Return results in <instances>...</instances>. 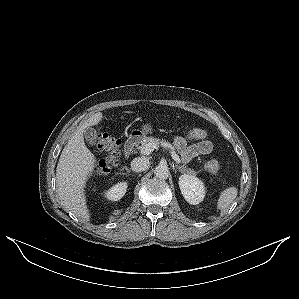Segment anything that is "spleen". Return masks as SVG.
<instances>
[{
	"label": "spleen",
	"instance_id": "obj_1",
	"mask_svg": "<svg viewBox=\"0 0 299 299\" xmlns=\"http://www.w3.org/2000/svg\"><path fill=\"white\" fill-rule=\"evenodd\" d=\"M238 190L236 187H229L223 190L217 202V209L225 212L237 197Z\"/></svg>",
	"mask_w": 299,
	"mask_h": 299
}]
</instances>
